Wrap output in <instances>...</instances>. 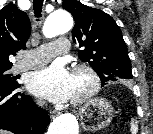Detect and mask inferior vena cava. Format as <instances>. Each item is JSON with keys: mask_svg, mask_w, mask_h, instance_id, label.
Here are the masks:
<instances>
[{"mask_svg": "<svg viewBox=\"0 0 153 134\" xmlns=\"http://www.w3.org/2000/svg\"><path fill=\"white\" fill-rule=\"evenodd\" d=\"M38 104H39L40 106H42L44 103H43V102H38Z\"/></svg>", "mask_w": 153, "mask_h": 134, "instance_id": "602c4592", "label": "inferior vena cava"}]
</instances>
